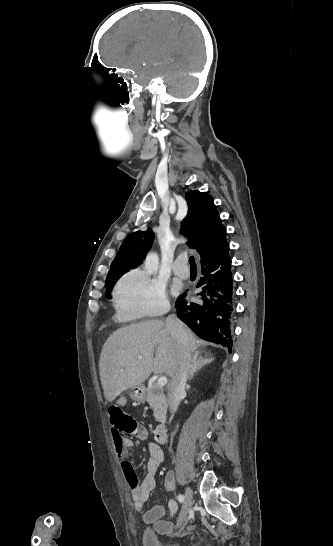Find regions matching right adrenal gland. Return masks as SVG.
Masks as SVG:
<instances>
[{"instance_id": "obj_1", "label": "right adrenal gland", "mask_w": 333, "mask_h": 546, "mask_svg": "<svg viewBox=\"0 0 333 546\" xmlns=\"http://www.w3.org/2000/svg\"><path fill=\"white\" fill-rule=\"evenodd\" d=\"M212 361H214L213 358H204L203 356H200V351H196L193 355L192 367L188 376V380H192V378L199 369H201L206 364L211 363Z\"/></svg>"}]
</instances>
